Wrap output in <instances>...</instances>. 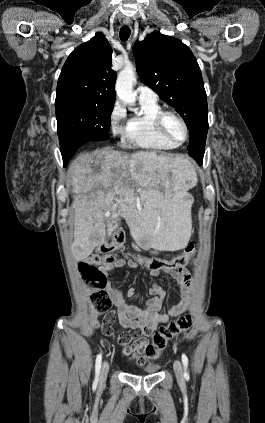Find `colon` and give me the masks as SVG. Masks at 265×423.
<instances>
[{"label":"colon","mask_w":265,"mask_h":423,"mask_svg":"<svg viewBox=\"0 0 265 423\" xmlns=\"http://www.w3.org/2000/svg\"><path fill=\"white\" fill-rule=\"evenodd\" d=\"M126 233L124 229H118L111 239L100 245L88 258L78 263V270L82 279L90 289L89 299L92 303L94 314L106 313L111 306L109 293L105 290L106 279L103 272L97 267L99 264L115 262L114 251L124 245ZM194 253V246L188 245L185 252L172 259L157 257L137 256L136 260L143 263L150 272L178 271L185 267ZM112 318L106 315L101 323L96 322L105 335H112ZM192 325L189 315L178 317L174 322L161 327L153 336L152 343L146 344L143 352L149 359H155L165 349L167 343L173 338L187 331Z\"/></svg>","instance_id":"5ec220e1"}]
</instances>
